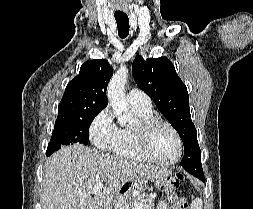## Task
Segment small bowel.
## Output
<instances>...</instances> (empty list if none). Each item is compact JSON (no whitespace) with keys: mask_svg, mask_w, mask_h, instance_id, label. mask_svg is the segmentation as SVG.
Here are the masks:
<instances>
[{"mask_svg":"<svg viewBox=\"0 0 253 209\" xmlns=\"http://www.w3.org/2000/svg\"><path fill=\"white\" fill-rule=\"evenodd\" d=\"M157 209H176L175 205L174 206H171L168 201L166 200H163L161 201L158 206H157Z\"/></svg>","mask_w":253,"mask_h":209,"instance_id":"1","label":"small bowel"}]
</instances>
